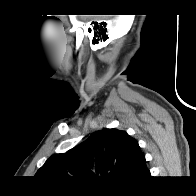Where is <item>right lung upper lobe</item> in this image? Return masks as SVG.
Listing matches in <instances>:
<instances>
[{
    "mask_svg": "<svg viewBox=\"0 0 196 196\" xmlns=\"http://www.w3.org/2000/svg\"><path fill=\"white\" fill-rule=\"evenodd\" d=\"M150 172L138 142L125 131L103 129L66 153L52 155L35 177L53 185H133Z\"/></svg>",
    "mask_w": 196,
    "mask_h": 196,
    "instance_id": "1",
    "label": "right lung upper lobe"
}]
</instances>
